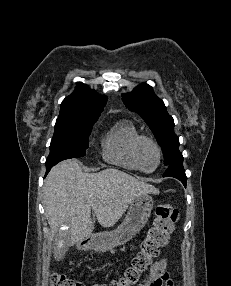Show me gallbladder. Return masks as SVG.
Listing matches in <instances>:
<instances>
[{
  "mask_svg": "<svg viewBox=\"0 0 231 286\" xmlns=\"http://www.w3.org/2000/svg\"><path fill=\"white\" fill-rule=\"evenodd\" d=\"M69 223H59V233L58 236H60V238H56L55 240H53V245L51 246L52 249H54V257L55 259H62L64 258V256L66 255L65 252L66 251V243H68L67 238H65V236L68 235V229H69ZM55 261H62V260H55Z\"/></svg>",
  "mask_w": 231,
  "mask_h": 286,
  "instance_id": "bac80fb5",
  "label": "gallbladder"
}]
</instances>
